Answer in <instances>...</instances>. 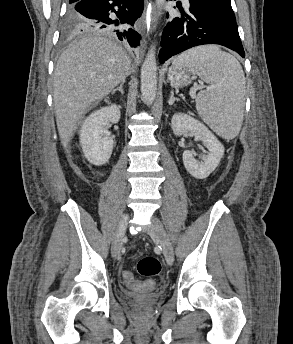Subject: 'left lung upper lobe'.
<instances>
[{"instance_id": "5c2ea615", "label": "left lung upper lobe", "mask_w": 293, "mask_h": 344, "mask_svg": "<svg viewBox=\"0 0 293 344\" xmlns=\"http://www.w3.org/2000/svg\"><path fill=\"white\" fill-rule=\"evenodd\" d=\"M202 1L211 5L223 16H225L226 18H228L229 20L233 21L236 24L235 15L231 7L230 0H202Z\"/></svg>"}]
</instances>
